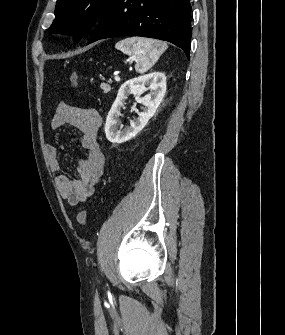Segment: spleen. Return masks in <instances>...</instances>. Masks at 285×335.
Masks as SVG:
<instances>
[{
    "instance_id": "1",
    "label": "spleen",
    "mask_w": 285,
    "mask_h": 335,
    "mask_svg": "<svg viewBox=\"0 0 285 335\" xmlns=\"http://www.w3.org/2000/svg\"><path fill=\"white\" fill-rule=\"evenodd\" d=\"M115 48L127 56H136L135 70L138 74H144L167 50V44L159 40H151V38H126V40L117 42Z\"/></svg>"
}]
</instances>
